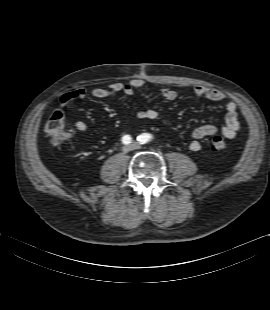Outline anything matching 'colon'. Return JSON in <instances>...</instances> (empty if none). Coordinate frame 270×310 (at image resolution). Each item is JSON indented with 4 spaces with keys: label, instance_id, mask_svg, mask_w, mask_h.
I'll use <instances>...</instances> for the list:
<instances>
[{
    "label": "colon",
    "instance_id": "colon-1",
    "mask_svg": "<svg viewBox=\"0 0 270 310\" xmlns=\"http://www.w3.org/2000/svg\"><path fill=\"white\" fill-rule=\"evenodd\" d=\"M46 132L53 143H59L67 137L65 114L62 110H56L50 116ZM210 147L215 151H222L228 147V142L224 137L215 136L210 140Z\"/></svg>",
    "mask_w": 270,
    "mask_h": 310
}]
</instances>
